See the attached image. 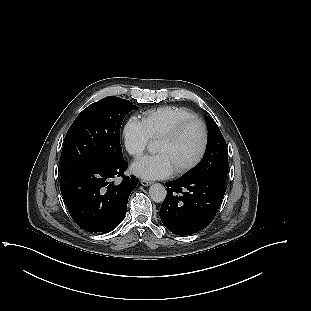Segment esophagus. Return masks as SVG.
I'll list each match as a JSON object with an SVG mask.
<instances>
[{"mask_svg":"<svg viewBox=\"0 0 311 311\" xmlns=\"http://www.w3.org/2000/svg\"><path fill=\"white\" fill-rule=\"evenodd\" d=\"M140 183H141L142 186H149V185L152 184L151 181H147V180H141Z\"/></svg>","mask_w":311,"mask_h":311,"instance_id":"1","label":"esophagus"}]
</instances>
